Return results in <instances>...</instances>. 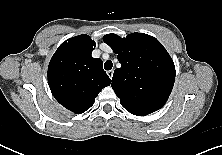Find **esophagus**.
<instances>
[{
	"label": "esophagus",
	"mask_w": 222,
	"mask_h": 155,
	"mask_svg": "<svg viewBox=\"0 0 222 155\" xmlns=\"http://www.w3.org/2000/svg\"><path fill=\"white\" fill-rule=\"evenodd\" d=\"M113 73H114L113 70H109V71H107V75L109 76V78L112 79V77H113Z\"/></svg>",
	"instance_id": "obj_1"
}]
</instances>
